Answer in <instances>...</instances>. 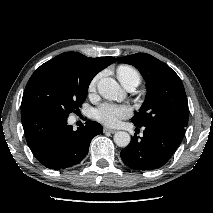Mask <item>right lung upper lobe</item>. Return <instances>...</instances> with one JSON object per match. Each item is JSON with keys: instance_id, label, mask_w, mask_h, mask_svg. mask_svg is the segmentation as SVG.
I'll return each mask as SVG.
<instances>
[{"instance_id": "obj_1", "label": "right lung upper lobe", "mask_w": 213, "mask_h": 213, "mask_svg": "<svg viewBox=\"0 0 213 213\" xmlns=\"http://www.w3.org/2000/svg\"><path fill=\"white\" fill-rule=\"evenodd\" d=\"M52 60L78 68L92 79L98 72L115 62L114 57L90 58L77 52H65Z\"/></svg>"}]
</instances>
